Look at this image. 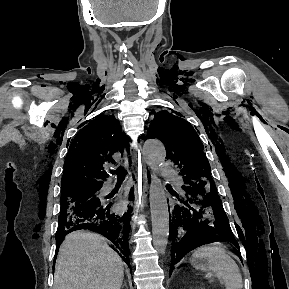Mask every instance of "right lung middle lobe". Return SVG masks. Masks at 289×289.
<instances>
[{
    "mask_svg": "<svg viewBox=\"0 0 289 289\" xmlns=\"http://www.w3.org/2000/svg\"><path fill=\"white\" fill-rule=\"evenodd\" d=\"M99 190L83 191L67 196H61V212L59 222L69 218L74 213L82 211L98 202Z\"/></svg>",
    "mask_w": 289,
    "mask_h": 289,
    "instance_id": "1",
    "label": "right lung middle lobe"
}]
</instances>
